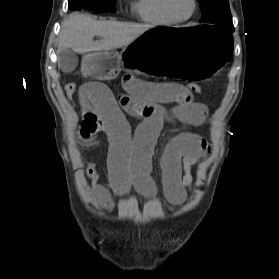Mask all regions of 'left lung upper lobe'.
Returning a JSON list of instances; mask_svg holds the SVG:
<instances>
[{"mask_svg":"<svg viewBox=\"0 0 279 279\" xmlns=\"http://www.w3.org/2000/svg\"><path fill=\"white\" fill-rule=\"evenodd\" d=\"M201 6L202 23L224 24L232 22L228 0H197Z\"/></svg>","mask_w":279,"mask_h":279,"instance_id":"left-lung-upper-lobe-1","label":"left lung upper lobe"}]
</instances>
